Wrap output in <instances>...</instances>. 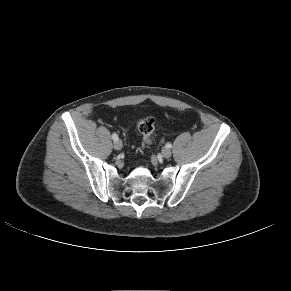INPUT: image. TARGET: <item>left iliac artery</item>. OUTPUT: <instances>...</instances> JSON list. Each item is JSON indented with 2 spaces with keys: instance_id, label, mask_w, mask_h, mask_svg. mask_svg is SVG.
I'll use <instances>...</instances> for the list:
<instances>
[{
  "instance_id": "44dca946",
  "label": "left iliac artery",
  "mask_w": 291,
  "mask_h": 291,
  "mask_svg": "<svg viewBox=\"0 0 291 291\" xmlns=\"http://www.w3.org/2000/svg\"><path fill=\"white\" fill-rule=\"evenodd\" d=\"M166 147H167V148H171L172 145H171L170 143H167V144H166Z\"/></svg>"
}]
</instances>
